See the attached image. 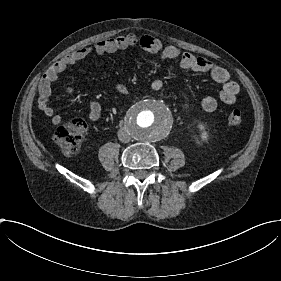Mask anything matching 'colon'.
<instances>
[{
  "label": "colon",
  "mask_w": 281,
  "mask_h": 281,
  "mask_svg": "<svg viewBox=\"0 0 281 281\" xmlns=\"http://www.w3.org/2000/svg\"><path fill=\"white\" fill-rule=\"evenodd\" d=\"M243 120L244 115L241 110L235 109L228 113V121L233 126H240ZM87 130V122L82 118L77 119L71 124L58 128L56 141L67 154H77L81 149V142Z\"/></svg>",
  "instance_id": "5ec220e1"
}]
</instances>
